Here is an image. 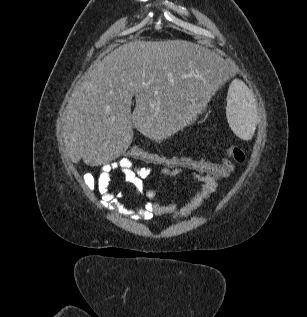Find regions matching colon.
<instances>
[{
  "instance_id": "obj_1",
  "label": "colon",
  "mask_w": 307,
  "mask_h": 317,
  "mask_svg": "<svg viewBox=\"0 0 307 317\" xmlns=\"http://www.w3.org/2000/svg\"><path fill=\"white\" fill-rule=\"evenodd\" d=\"M119 159L133 163L140 162L152 168L188 169L214 178H223L232 172L233 162L242 163L245 161L246 154L242 148L231 146L227 149L226 156L221 161L213 162L189 156L164 155L139 146L129 145L121 153ZM84 180L90 189L94 188L96 179L92 174H86Z\"/></svg>"
}]
</instances>
